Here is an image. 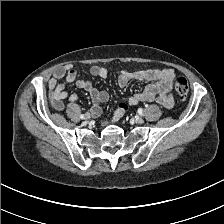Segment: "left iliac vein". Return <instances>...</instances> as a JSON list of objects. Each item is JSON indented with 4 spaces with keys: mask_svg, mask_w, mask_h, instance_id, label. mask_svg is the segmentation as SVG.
Instances as JSON below:
<instances>
[{
    "mask_svg": "<svg viewBox=\"0 0 224 224\" xmlns=\"http://www.w3.org/2000/svg\"><path fill=\"white\" fill-rule=\"evenodd\" d=\"M136 122H137L138 124H142V123L144 122V120H143V118H141V117H137V118H136Z\"/></svg>",
    "mask_w": 224,
    "mask_h": 224,
    "instance_id": "4c4485c4",
    "label": "left iliac vein"
}]
</instances>
